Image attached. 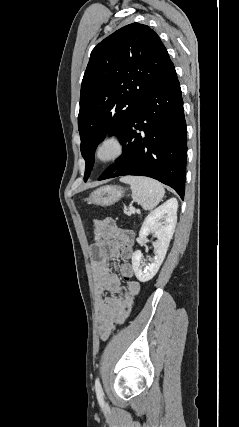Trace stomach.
<instances>
[{
  "mask_svg": "<svg viewBox=\"0 0 239 427\" xmlns=\"http://www.w3.org/2000/svg\"><path fill=\"white\" fill-rule=\"evenodd\" d=\"M124 194L120 186H103L94 190L89 196V203L98 206H110L118 202Z\"/></svg>",
  "mask_w": 239,
  "mask_h": 427,
  "instance_id": "stomach-1",
  "label": "stomach"
}]
</instances>
